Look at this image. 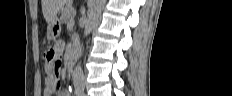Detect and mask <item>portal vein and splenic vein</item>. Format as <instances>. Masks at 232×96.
I'll return each mask as SVG.
<instances>
[{"instance_id":"1","label":"portal vein and splenic vein","mask_w":232,"mask_h":96,"mask_svg":"<svg viewBox=\"0 0 232 96\" xmlns=\"http://www.w3.org/2000/svg\"><path fill=\"white\" fill-rule=\"evenodd\" d=\"M71 23L73 24L74 23V20L72 19Z\"/></svg>"}]
</instances>
